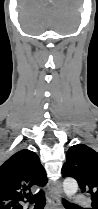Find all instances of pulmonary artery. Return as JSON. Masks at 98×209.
Returning a JSON list of instances; mask_svg holds the SVG:
<instances>
[{
  "label": "pulmonary artery",
  "instance_id": "obj_1",
  "mask_svg": "<svg viewBox=\"0 0 98 209\" xmlns=\"http://www.w3.org/2000/svg\"><path fill=\"white\" fill-rule=\"evenodd\" d=\"M75 201L79 204V205H88L89 204V200L85 197H76Z\"/></svg>",
  "mask_w": 98,
  "mask_h": 209
}]
</instances>
